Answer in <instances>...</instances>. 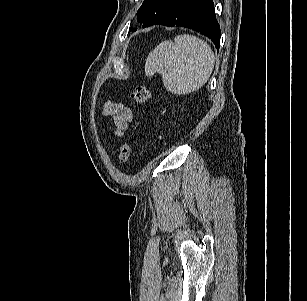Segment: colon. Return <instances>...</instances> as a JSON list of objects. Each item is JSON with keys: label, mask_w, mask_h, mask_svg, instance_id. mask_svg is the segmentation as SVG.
<instances>
[{"label": "colon", "mask_w": 307, "mask_h": 301, "mask_svg": "<svg viewBox=\"0 0 307 301\" xmlns=\"http://www.w3.org/2000/svg\"><path fill=\"white\" fill-rule=\"evenodd\" d=\"M131 98L139 105H145L151 98V92L145 85H137L131 92ZM131 154V144L129 140L123 139L120 141L118 159L120 163H125Z\"/></svg>", "instance_id": "5ec220e1"}]
</instances>
